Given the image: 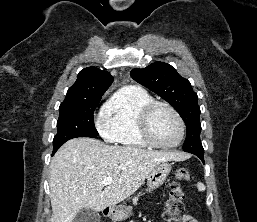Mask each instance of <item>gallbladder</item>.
Returning <instances> with one entry per match:
<instances>
[{
	"label": "gallbladder",
	"instance_id": "bac80fb5",
	"mask_svg": "<svg viewBox=\"0 0 257 222\" xmlns=\"http://www.w3.org/2000/svg\"><path fill=\"white\" fill-rule=\"evenodd\" d=\"M73 222H100V215L94 210L83 208L76 214Z\"/></svg>",
	"mask_w": 257,
	"mask_h": 222
}]
</instances>
